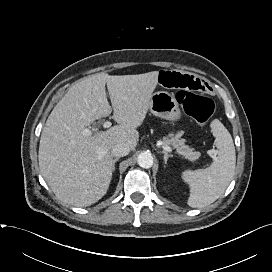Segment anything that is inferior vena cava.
<instances>
[{
  "label": "inferior vena cava",
  "mask_w": 272,
  "mask_h": 272,
  "mask_svg": "<svg viewBox=\"0 0 272 272\" xmlns=\"http://www.w3.org/2000/svg\"><path fill=\"white\" fill-rule=\"evenodd\" d=\"M112 154L116 157H123L129 154L130 152V148L128 145L124 144V143H120L115 145L112 148Z\"/></svg>",
  "instance_id": "obj_1"
}]
</instances>
